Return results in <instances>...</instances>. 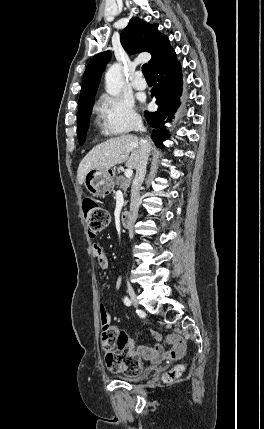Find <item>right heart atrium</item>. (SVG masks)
Listing matches in <instances>:
<instances>
[{"label":"right heart atrium","instance_id":"1","mask_svg":"<svg viewBox=\"0 0 264 429\" xmlns=\"http://www.w3.org/2000/svg\"><path fill=\"white\" fill-rule=\"evenodd\" d=\"M104 131L110 135H122L137 129L141 117L131 99L123 96L102 95L96 104Z\"/></svg>","mask_w":264,"mask_h":429}]
</instances>
